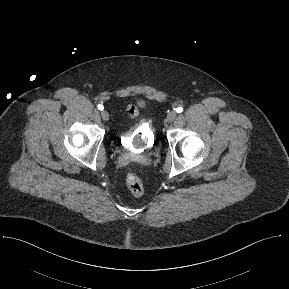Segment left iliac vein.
<instances>
[{"label": "left iliac vein", "instance_id": "1", "mask_svg": "<svg viewBox=\"0 0 289 289\" xmlns=\"http://www.w3.org/2000/svg\"><path fill=\"white\" fill-rule=\"evenodd\" d=\"M176 116H177V114L175 111L170 112L168 115V118H169L168 121H173L176 118Z\"/></svg>", "mask_w": 289, "mask_h": 289}]
</instances>
